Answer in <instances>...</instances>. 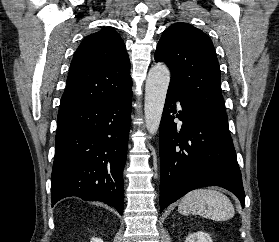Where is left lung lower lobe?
<instances>
[{
  "label": "left lung lower lobe",
  "mask_w": 279,
  "mask_h": 242,
  "mask_svg": "<svg viewBox=\"0 0 279 242\" xmlns=\"http://www.w3.org/2000/svg\"><path fill=\"white\" fill-rule=\"evenodd\" d=\"M178 111L176 114L178 105ZM178 117L182 125L173 120ZM160 212L187 192L217 185L245 205V193L228 125L186 100L169 85L160 122Z\"/></svg>",
  "instance_id": "left-lung-lower-lobe-1"
}]
</instances>
